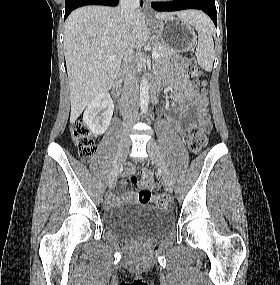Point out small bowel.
Instances as JSON below:
<instances>
[{
	"label": "small bowel",
	"mask_w": 280,
	"mask_h": 285,
	"mask_svg": "<svg viewBox=\"0 0 280 285\" xmlns=\"http://www.w3.org/2000/svg\"><path fill=\"white\" fill-rule=\"evenodd\" d=\"M170 88L172 90V98L177 104H186V110L190 108H195L197 111V116L201 123H208V100L204 95L199 94L196 91L194 84L185 76L184 74L178 71V68L175 69L172 77L168 81ZM175 127L180 132L185 131L184 125L180 121H174ZM135 172L134 165L130 164L125 169L127 175H132ZM150 199V191L146 188H143L141 191H126L121 195H115L109 193L107 196L108 204H115L117 202L124 203H141L145 204Z\"/></svg>",
	"instance_id": "c3829d8e"
}]
</instances>
